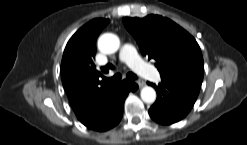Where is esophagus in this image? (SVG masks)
Here are the masks:
<instances>
[{
  "instance_id": "1",
  "label": "esophagus",
  "mask_w": 247,
  "mask_h": 145,
  "mask_svg": "<svg viewBox=\"0 0 247 145\" xmlns=\"http://www.w3.org/2000/svg\"><path fill=\"white\" fill-rule=\"evenodd\" d=\"M137 84H138L139 88H142L145 85V82L143 80H139V81H137Z\"/></svg>"
}]
</instances>
